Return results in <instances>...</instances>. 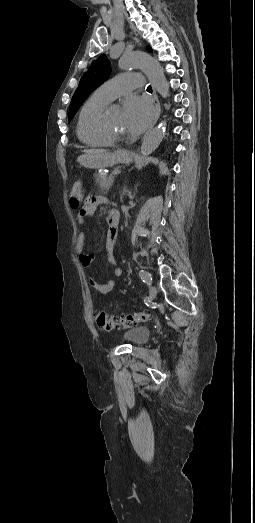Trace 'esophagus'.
Masks as SVG:
<instances>
[{"mask_svg":"<svg viewBox=\"0 0 255 523\" xmlns=\"http://www.w3.org/2000/svg\"><path fill=\"white\" fill-rule=\"evenodd\" d=\"M153 103H154V107H155V114H154V117H153L151 125L149 126L148 130L146 131L145 136L150 132V130H152V128L156 124V122H157V120L159 118V115L161 113L160 103H159V100H158V97H157V94H156V90H155L154 87H153Z\"/></svg>","mask_w":255,"mask_h":523,"instance_id":"1","label":"esophagus"}]
</instances>
